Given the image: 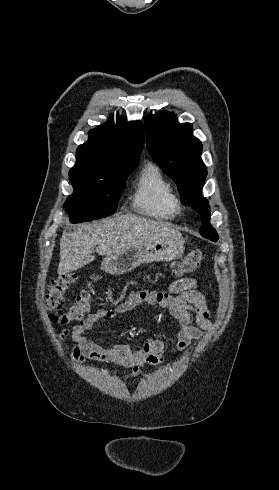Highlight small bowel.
Returning <instances> with one entry per match:
<instances>
[{"label": "small bowel", "mask_w": 279, "mask_h": 490, "mask_svg": "<svg viewBox=\"0 0 279 490\" xmlns=\"http://www.w3.org/2000/svg\"><path fill=\"white\" fill-rule=\"evenodd\" d=\"M199 283L192 278L179 279L172 283L168 292L139 290L131 292L114 308H101L87 315L85 320L71 330H63L58 338L64 341L68 337L76 342L73 358L84 362L87 359L112 362L128 368L126 380L135 378L146 365H160L166 360L164 341L160 337L148 339L141 348L131 349L128 344L112 341L109 347H103L86 333L100 320H112L118 315L134 310L141 304L168 309L179 321L175 351H182L192 342L202 338L210 330L209 310L205 296L198 291ZM195 320V325L192 324Z\"/></svg>", "instance_id": "obj_1"}]
</instances>
